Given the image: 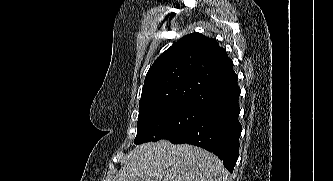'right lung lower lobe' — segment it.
<instances>
[{
	"instance_id": "1",
	"label": "right lung lower lobe",
	"mask_w": 333,
	"mask_h": 181,
	"mask_svg": "<svg viewBox=\"0 0 333 181\" xmlns=\"http://www.w3.org/2000/svg\"><path fill=\"white\" fill-rule=\"evenodd\" d=\"M239 95L208 106L187 130L169 141L192 144L213 152L232 173L239 156L242 129L238 121Z\"/></svg>"
}]
</instances>
